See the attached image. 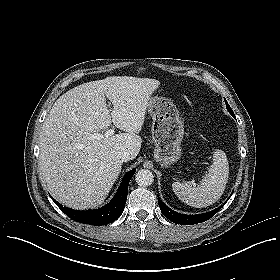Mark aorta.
<instances>
[{
  "mask_svg": "<svg viewBox=\"0 0 280 280\" xmlns=\"http://www.w3.org/2000/svg\"><path fill=\"white\" fill-rule=\"evenodd\" d=\"M136 183L140 186H150L154 181L152 172L148 169H141L135 175Z\"/></svg>",
  "mask_w": 280,
  "mask_h": 280,
  "instance_id": "obj_1",
  "label": "aorta"
}]
</instances>
